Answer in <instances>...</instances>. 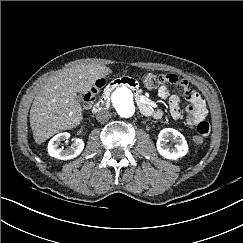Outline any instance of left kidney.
I'll return each instance as SVG.
<instances>
[{"label": "left kidney", "mask_w": 243, "mask_h": 243, "mask_svg": "<svg viewBox=\"0 0 243 243\" xmlns=\"http://www.w3.org/2000/svg\"><path fill=\"white\" fill-rule=\"evenodd\" d=\"M170 140L175 143L174 148L168 147L167 143ZM156 146L159 154L169 160L179 159L188 152V144L184 136L172 128H165L160 131Z\"/></svg>", "instance_id": "left-kidney-1"}]
</instances>
